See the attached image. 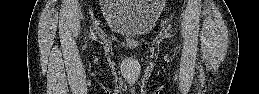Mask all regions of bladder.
Listing matches in <instances>:
<instances>
[{
	"instance_id": "31cf9c89",
	"label": "bladder",
	"mask_w": 259,
	"mask_h": 94,
	"mask_svg": "<svg viewBox=\"0 0 259 94\" xmlns=\"http://www.w3.org/2000/svg\"><path fill=\"white\" fill-rule=\"evenodd\" d=\"M109 31L125 39H137L155 27L160 7L151 0L107 1L104 8Z\"/></svg>"
}]
</instances>
